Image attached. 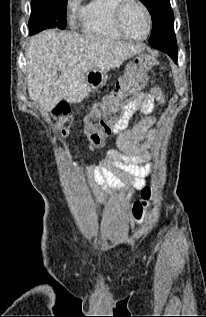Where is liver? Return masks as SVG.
<instances>
[{
	"instance_id": "1",
	"label": "liver",
	"mask_w": 206,
	"mask_h": 317,
	"mask_svg": "<svg viewBox=\"0 0 206 317\" xmlns=\"http://www.w3.org/2000/svg\"><path fill=\"white\" fill-rule=\"evenodd\" d=\"M143 50L142 45L98 35L45 30L31 37L26 48L29 97L46 112L63 99L79 103L90 91L86 82L89 71L106 74Z\"/></svg>"
}]
</instances>
